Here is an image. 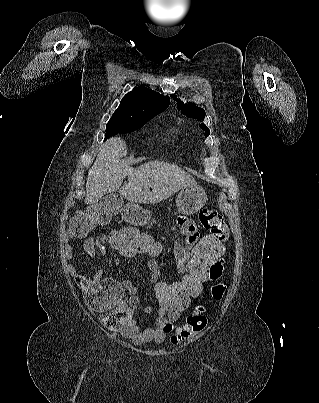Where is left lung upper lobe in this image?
<instances>
[{
  "mask_svg": "<svg viewBox=\"0 0 319 403\" xmlns=\"http://www.w3.org/2000/svg\"><path fill=\"white\" fill-rule=\"evenodd\" d=\"M174 100H177L178 110H180L185 116L202 120L205 117V111L202 108L197 107L194 103L184 104L181 100H178L175 95H171ZM201 128L205 130L206 136L210 134V130L202 123Z\"/></svg>",
  "mask_w": 319,
  "mask_h": 403,
  "instance_id": "1",
  "label": "left lung upper lobe"
}]
</instances>
